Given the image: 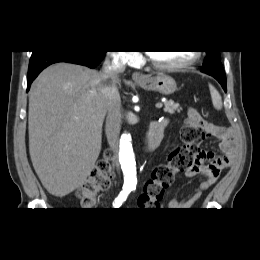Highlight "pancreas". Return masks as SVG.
Wrapping results in <instances>:
<instances>
[{"label":"pancreas","mask_w":260,"mask_h":260,"mask_svg":"<svg viewBox=\"0 0 260 260\" xmlns=\"http://www.w3.org/2000/svg\"><path fill=\"white\" fill-rule=\"evenodd\" d=\"M164 112L169 114H174L175 112H180L181 108L178 103H174V101L169 100L164 102Z\"/></svg>","instance_id":"cf45deb5"}]
</instances>
